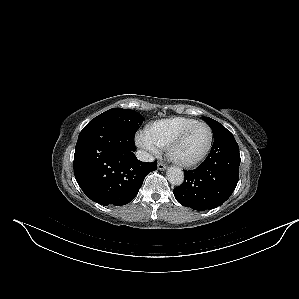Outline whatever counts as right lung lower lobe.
<instances>
[{"label":"right lung lower lobe","mask_w":299,"mask_h":299,"mask_svg":"<svg viewBox=\"0 0 299 299\" xmlns=\"http://www.w3.org/2000/svg\"><path fill=\"white\" fill-rule=\"evenodd\" d=\"M134 135L119 124L93 119L81 131L75 147L74 175L82 191L94 202L121 206L137 195L157 162L139 161Z\"/></svg>","instance_id":"1"}]
</instances>
